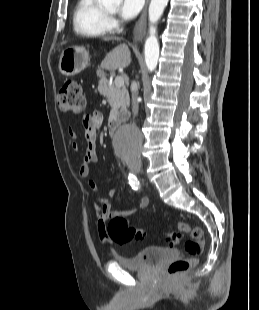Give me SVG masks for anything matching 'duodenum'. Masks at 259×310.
Returning <instances> with one entry per match:
<instances>
[{"label":"duodenum","instance_id":"410a0bca","mask_svg":"<svg viewBox=\"0 0 259 310\" xmlns=\"http://www.w3.org/2000/svg\"><path fill=\"white\" fill-rule=\"evenodd\" d=\"M110 135H114L117 129V122L115 120H111L108 124Z\"/></svg>","mask_w":259,"mask_h":310}]
</instances>
